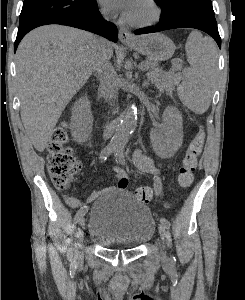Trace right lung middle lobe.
Masks as SVG:
<instances>
[{
	"instance_id": "dd1d6c3e",
	"label": "right lung middle lobe",
	"mask_w": 245,
	"mask_h": 300,
	"mask_svg": "<svg viewBox=\"0 0 245 300\" xmlns=\"http://www.w3.org/2000/svg\"><path fill=\"white\" fill-rule=\"evenodd\" d=\"M96 7V0H24L19 29L56 17L86 15Z\"/></svg>"
}]
</instances>
